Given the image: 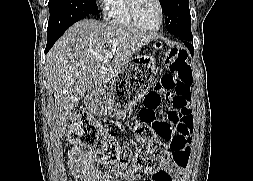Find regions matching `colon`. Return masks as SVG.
Masks as SVG:
<instances>
[{"label": "colon", "instance_id": "obj_1", "mask_svg": "<svg viewBox=\"0 0 253 181\" xmlns=\"http://www.w3.org/2000/svg\"><path fill=\"white\" fill-rule=\"evenodd\" d=\"M154 49L169 55L171 70L163 75L145 97L134 124V134L145 144L144 149L132 150L111 138L101 124L85 112L75 115L69 129V140L82 152L92 153L103 165L135 174L145 173L150 167H162L173 159L179 130H172L191 116V85L193 75L187 62V50L164 47L153 41ZM164 59L163 55L159 56ZM166 101L172 108L167 120L157 118V111Z\"/></svg>", "mask_w": 253, "mask_h": 181}]
</instances>
